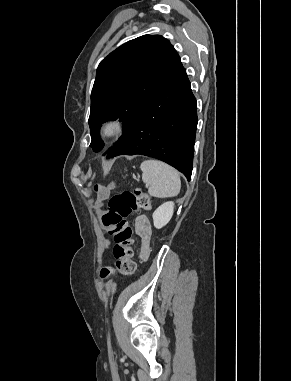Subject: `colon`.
Masks as SVG:
<instances>
[{
	"instance_id": "1",
	"label": "colon",
	"mask_w": 291,
	"mask_h": 381,
	"mask_svg": "<svg viewBox=\"0 0 291 381\" xmlns=\"http://www.w3.org/2000/svg\"><path fill=\"white\" fill-rule=\"evenodd\" d=\"M110 188L95 185L94 191L99 197H105ZM150 208V199L146 193L139 189L125 190L114 194L109 200V209L103 216V224L113 238L115 258L114 266H102L99 277L106 279L113 273L122 276H131L136 268L133 260L134 232L129 225L128 217Z\"/></svg>"
}]
</instances>
